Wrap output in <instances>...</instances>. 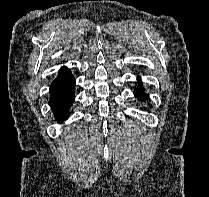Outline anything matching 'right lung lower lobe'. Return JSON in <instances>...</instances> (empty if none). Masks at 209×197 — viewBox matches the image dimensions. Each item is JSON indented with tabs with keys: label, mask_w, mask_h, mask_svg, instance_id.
Returning a JSON list of instances; mask_svg holds the SVG:
<instances>
[{
	"label": "right lung lower lobe",
	"mask_w": 209,
	"mask_h": 197,
	"mask_svg": "<svg viewBox=\"0 0 209 197\" xmlns=\"http://www.w3.org/2000/svg\"><path fill=\"white\" fill-rule=\"evenodd\" d=\"M76 81L70 70L62 67L50 87V106L58 122L68 118V109L74 102Z\"/></svg>",
	"instance_id": "obj_1"
}]
</instances>
